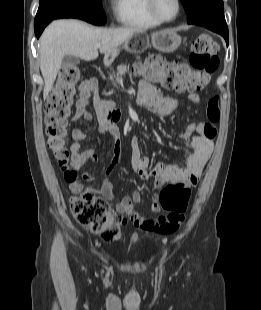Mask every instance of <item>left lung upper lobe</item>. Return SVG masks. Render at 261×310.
Segmentation results:
<instances>
[{"label":"left lung upper lobe","instance_id":"obj_1","mask_svg":"<svg viewBox=\"0 0 261 310\" xmlns=\"http://www.w3.org/2000/svg\"><path fill=\"white\" fill-rule=\"evenodd\" d=\"M187 13V22L196 24L212 21L227 25L224 17L223 0H181Z\"/></svg>","mask_w":261,"mask_h":310}]
</instances>
